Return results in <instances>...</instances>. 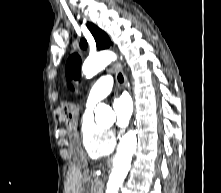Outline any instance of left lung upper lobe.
Returning a JSON list of instances; mask_svg holds the SVG:
<instances>
[{
  "label": "left lung upper lobe",
  "mask_w": 221,
  "mask_h": 193,
  "mask_svg": "<svg viewBox=\"0 0 221 193\" xmlns=\"http://www.w3.org/2000/svg\"><path fill=\"white\" fill-rule=\"evenodd\" d=\"M87 27L92 33L98 48L105 49V48H108L112 44L108 35L104 31H102L100 28H98L92 23H88ZM80 46L85 49L87 47L86 41L82 40L80 43ZM80 68H81L80 56L78 54L71 55L69 59L67 60V64H66L67 78L69 80L72 78L75 80H78L81 75ZM69 87L72 88L71 85H69Z\"/></svg>",
  "instance_id": "5c2ea615"
}]
</instances>
